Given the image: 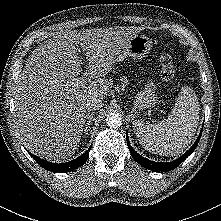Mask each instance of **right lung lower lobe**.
I'll list each match as a JSON object with an SVG mask.
<instances>
[{
	"label": "right lung lower lobe",
	"mask_w": 221,
	"mask_h": 221,
	"mask_svg": "<svg viewBox=\"0 0 221 221\" xmlns=\"http://www.w3.org/2000/svg\"><path fill=\"white\" fill-rule=\"evenodd\" d=\"M90 149V148H89ZM31 155V157H33L37 163L42 166L44 169L51 171V172H69L72 170H75L76 168L84 165V163L87 161V159L89 158V151H86L85 153H83L80 157L66 162V163H52V162H48L46 160H43L31 153H29Z\"/></svg>",
	"instance_id": "right-lung-lower-lobe-1"
}]
</instances>
